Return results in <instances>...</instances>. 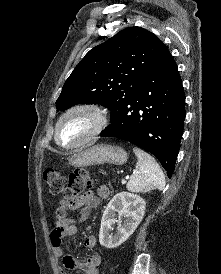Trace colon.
I'll return each mask as SVG.
<instances>
[{
  "instance_id": "5ec220e1",
  "label": "colon",
  "mask_w": 221,
  "mask_h": 274,
  "mask_svg": "<svg viewBox=\"0 0 221 274\" xmlns=\"http://www.w3.org/2000/svg\"><path fill=\"white\" fill-rule=\"evenodd\" d=\"M45 183L50 193L62 195L65 201H73L91 186L87 173L83 171L72 172L65 176L58 170L48 168L43 174Z\"/></svg>"
}]
</instances>
